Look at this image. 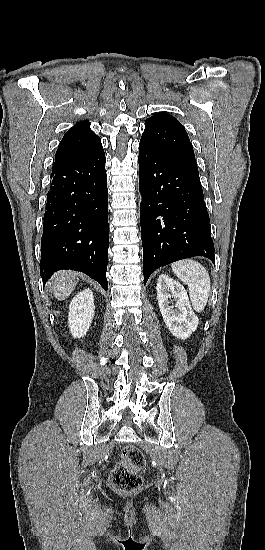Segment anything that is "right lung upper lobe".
I'll return each instance as SVG.
<instances>
[{
  "label": "right lung upper lobe",
  "instance_id": "obj_1",
  "mask_svg": "<svg viewBox=\"0 0 265 550\" xmlns=\"http://www.w3.org/2000/svg\"><path fill=\"white\" fill-rule=\"evenodd\" d=\"M88 121L78 122L64 134L53 164L92 155L103 150L99 136L90 129Z\"/></svg>",
  "mask_w": 265,
  "mask_h": 550
}]
</instances>
